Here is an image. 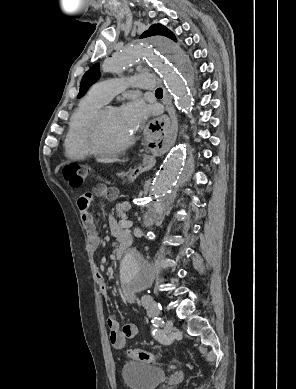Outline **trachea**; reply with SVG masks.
Instances as JSON below:
<instances>
[{"instance_id": "obj_1", "label": "trachea", "mask_w": 296, "mask_h": 389, "mask_svg": "<svg viewBox=\"0 0 296 389\" xmlns=\"http://www.w3.org/2000/svg\"><path fill=\"white\" fill-rule=\"evenodd\" d=\"M155 94H156V95H163L162 88H158V89L155 91Z\"/></svg>"}]
</instances>
